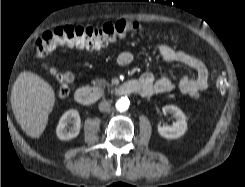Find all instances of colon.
Instances as JSON below:
<instances>
[{
	"mask_svg": "<svg viewBox=\"0 0 245 187\" xmlns=\"http://www.w3.org/2000/svg\"><path fill=\"white\" fill-rule=\"evenodd\" d=\"M140 28V23L127 20L107 23L100 27H59L38 37L34 42L33 52L36 57H43L63 46L97 49ZM44 69L58 81L59 97L68 96L69 86L74 78L72 72L48 65H44ZM216 85L219 89L226 88L227 82L222 74L217 76Z\"/></svg>",
	"mask_w": 245,
	"mask_h": 187,
	"instance_id": "obj_1",
	"label": "colon"
}]
</instances>
